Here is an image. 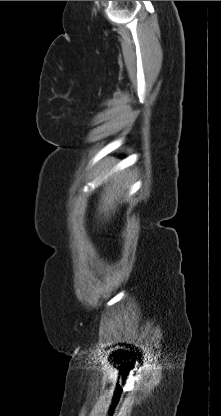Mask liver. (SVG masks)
<instances>
[{"label":"liver","instance_id":"6515ba94","mask_svg":"<svg viewBox=\"0 0 221 416\" xmlns=\"http://www.w3.org/2000/svg\"><path fill=\"white\" fill-rule=\"evenodd\" d=\"M122 186L121 179L114 180L110 184L106 185L104 191L105 193L102 195L101 203L102 206L100 209L102 211L108 213L110 210L114 211L116 205L115 201H117V197L120 193V188Z\"/></svg>","mask_w":221,"mask_h":416}]
</instances>
